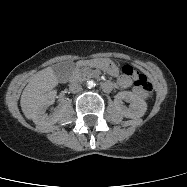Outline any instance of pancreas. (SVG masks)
Wrapping results in <instances>:
<instances>
[{
  "label": "pancreas",
  "mask_w": 187,
  "mask_h": 187,
  "mask_svg": "<svg viewBox=\"0 0 187 187\" xmlns=\"http://www.w3.org/2000/svg\"><path fill=\"white\" fill-rule=\"evenodd\" d=\"M75 78L79 81H85L87 79L95 77V72L88 66L77 68L74 72Z\"/></svg>",
  "instance_id": "cf45deb5"
}]
</instances>
